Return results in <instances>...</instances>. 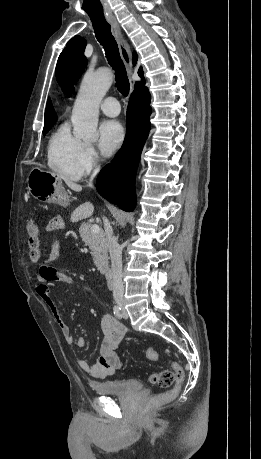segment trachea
I'll return each instance as SVG.
<instances>
[{
	"mask_svg": "<svg viewBox=\"0 0 261 459\" xmlns=\"http://www.w3.org/2000/svg\"><path fill=\"white\" fill-rule=\"evenodd\" d=\"M92 24L95 36L105 50L108 63L115 70L116 87L126 97L129 93L130 84L117 42L111 33V26L106 20H92Z\"/></svg>",
	"mask_w": 261,
	"mask_h": 459,
	"instance_id": "3493384b",
	"label": "trachea"
}]
</instances>
